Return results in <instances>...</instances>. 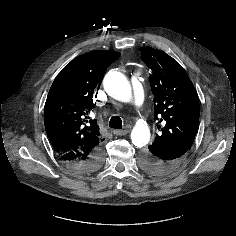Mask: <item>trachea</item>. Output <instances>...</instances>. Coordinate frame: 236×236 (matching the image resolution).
<instances>
[{
	"instance_id": "3493384b",
	"label": "trachea",
	"mask_w": 236,
	"mask_h": 236,
	"mask_svg": "<svg viewBox=\"0 0 236 236\" xmlns=\"http://www.w3.org/2000/svg\"><path fill=\"white\" fill-rule=\"evenodd\" d=\"M109 127L114 129H121L122 128V120L119 116H113L110 119Z\"/></svg>"
}]
</instances>
